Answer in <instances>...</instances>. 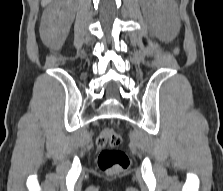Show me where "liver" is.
Listing matches in <instances>:
<instances>
[{"mask_svg":"<svg viewBox=\"0 0 223 191\" xmlns=\"http://www.w3.org/2000/svg\"><path fill=\"white\" fill-rule=\"evenodd\" d=\"M53 0H41V5L43 7L47 6L49 3H51Z\"/></svg>","mask_w":223,"mask_h":191,"instance_id":"1","label":"liver"}]
</instances>
